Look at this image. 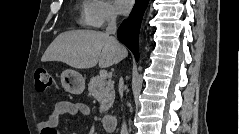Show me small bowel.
I'll return each instance as SVG.
<instances>
[{
	"mask_svg": "<svg viewBox=\"0 0 239 134\" xmlns=\"http://www.w3.org/2000/svg\"><path fill=\"white\" fill-rule=\"evenodd\" d=\"M64 114L70 115H84L90 114V108L81 102L74 101H59L55 104L52 112L47 119L41 121L38 127L41 134H57L56 126L58 124L59 117Z\"/></svg>",
	"mask_w": 239,
	"mask_h": 134,
	"instance_id": "obj_1",
	"label": "small bowel"
}]
</instances>
